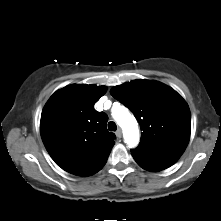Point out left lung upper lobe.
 <instances>
[{
	"label": "left lung upper lobe",
	"mask_w": 221,
	"mask_h": 221,
	"mask_svg": "<svg viewBox=\"0 0 221 221\" xmlns=\"http://www.w3.org/2000/svg\"><path fill=\"white\" fill-rule=\"evenodd\" d=\"M110 93L132 111L143 131L131 154L179 159L189 142L191 114L174 89L157 81L134 80L113 87Z\"/></svg>",
	"instance_id": "left-lung-upper-lobe-1"
}]
</instances>
